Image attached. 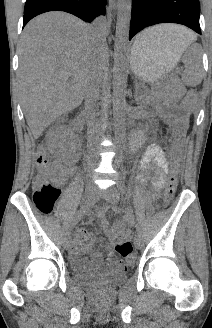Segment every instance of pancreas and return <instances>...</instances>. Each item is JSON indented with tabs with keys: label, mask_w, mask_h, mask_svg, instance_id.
I'll use <instances>...</instances> for the list:
<instances>
[{
	"label": "pancreas",
	"mask_w": 212,
	"mask_h": 328,
	"mask_svg": "<svg viewBox=\"0 0 212 328\" xmlns=\"http://www.w3.org/2000/svg\"><path fill=\"white\" fill-rule=\"evenodd\" d=\"M148 101H153V98L150 96L147 98Z\"/></svg>",
	"instance_id": "1"
}]
</instances>
